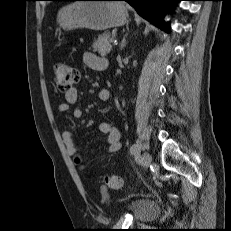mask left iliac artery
Masks as SVG:
<instances>
[{
	"label": "left iliac artery",
	"instance_id": "obj_1",
	"mask_svg": "<svg viewBox=\"0 0 231 231\" xmlns=\"http://www.w3.org/2000/svg\"><path fill=\"white\" fill-rule=\"evenodd\" d=\"M140 150H141V145L136 143L131 146L130 153L133 155H139Z\"/></svg>",
	"mask_w": 231,
	"mask_h": 231
}]
</instances>
